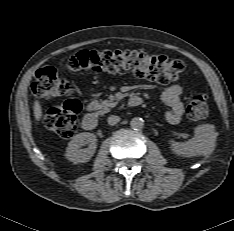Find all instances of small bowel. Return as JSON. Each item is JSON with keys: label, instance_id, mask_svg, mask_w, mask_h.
Returning <instances> with one entry per match:
<instances>
[{"label": "small bowel", "instance_id": "1", "mask_svg": "<svg viewBox=\"0 0 234 231\" xmlns=\"http://www.w3.org/2000/svg\"><path fill=\"white\" fill-rule=\"evenodd\" d=\"M181 95L182 86L180 84L169 85L163 90L162 100L169 107L166 119L171 124H178L184 112Z\"/></svg>", "mask_w": 234, "mask_h": 231}]
</instances>
